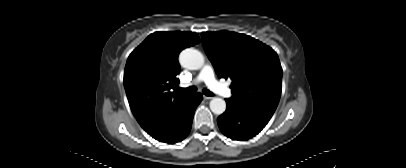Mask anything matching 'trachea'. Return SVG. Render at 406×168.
<instances>
[{
	"label": "trachea",
	"instance_id": "1",
	"mask_svg": "<svg viewBox=\"0 0 406 168\" xmlns=\"http://www.w3.org/2000/svg\"><path fill=\"white\" fill-rule=\"evenodd\" d=\"M178 92H181L183 94H194L196 92V87L192 86V87H188V88H177L176 89ZM203 94H205L206 96H213L214 94L212 92H210L207 89H203Z\"/></svg>",
	"mask_w": 406,
	"mask_h": 168
}]
</instances>
